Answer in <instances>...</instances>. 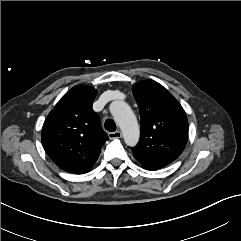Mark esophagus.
Instances as JSON below:
<instances>
[{
  "instance_id": "esophagus-1",
  "label": "esophagus",
  "mask_w": 241,
  "mask_h": 241,
  "mask_svg": "<svg viewBox=\"0 0 241 241\" xmlns=\"http://www.w3.org/2000/svg\"><path fill=\"white\" fill-rule=\"evenodd\" d=\"M108 136L110 139H119L122 137V133L120 131L110 132Z\"/></svg>"
}]
</instances>
